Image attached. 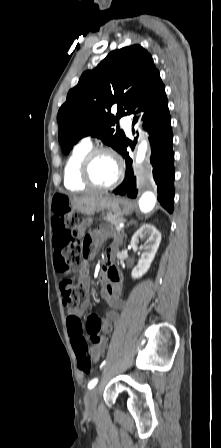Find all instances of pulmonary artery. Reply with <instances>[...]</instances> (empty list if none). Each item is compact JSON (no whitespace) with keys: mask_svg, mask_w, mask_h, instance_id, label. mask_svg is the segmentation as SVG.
<instances>
[{"mask_svg":"<svg viewBox=\"0 0 221 448\" xmlns=\"http://www.w3.org/2000/svg\"><path fill=\"white\" fill-rule=\"evenodd\" d=\"M121 123L123 124V126H124L126 132H127L128 134H130V133H131V123H130L129 119H128L126 116H123V117L121 118ZM82 142L87 143V144H91V139H90V137H85V138L82 140Z\"/></svg>","mask_w":221,"mask_h":448,"instance_id":"pulmonary-artery-1","label":"pulmonary artery"}]
</instances>
